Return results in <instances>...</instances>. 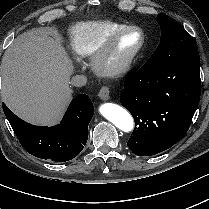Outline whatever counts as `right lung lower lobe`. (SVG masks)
<instances>
[{
	"instance_id": "obj_1",
	"label": "right lung lower lobe",
	"mask_w": 209,
	"mask_h": 209,
	"mask_svg": "<svg viewBox=\"0 0 209 209\" xmlns=\"http://www.w3.org/2000/svg\"><path fill=\"white\" fill-rule=\"evenodd\" d=\"M3 111L23 148L41 159L69 161L84 148L88 139V124L94 107L85 94L77 95L70 103L60 124L35 126L17 117L3 103Z\"/></svg>"
}]
</instances>
